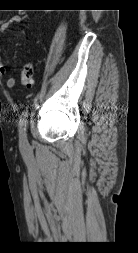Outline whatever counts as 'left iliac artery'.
<instances>
[{"mask_svg": "<svg viewBox=\"0 0 138 253\" xmlns=\"http://www.w3.org/2000/svg\"><path fill=\"white\" fill-rule=\"evenodd\" d=\"M28 110H24L19 121V138L21 142H27V123H28Z\"/></svg>", "mask_w": 138, "mask_h": 253, "instance_id": "1", "label": "left iliac artery"}]
</instances>
